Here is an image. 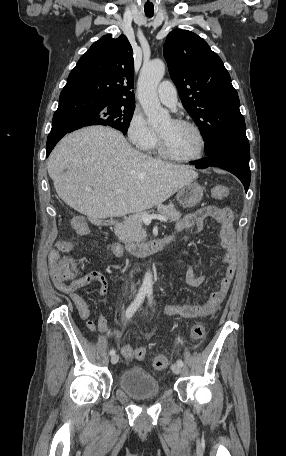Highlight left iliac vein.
I'll return each instance as SVG.
<instances>
[{
    "label": "left iliac vein",
    "instance_id": "1",
    "mask_svg": "<svg viewBox=\"0 0 286 456\" xmlns=\"http://www.w3.org/2000/svg\"><path fill=\"white\" fill-rule=\"evenodd\" d=\"M171 369L174 374H180L181 373V366L178 364H172Z\"/></svg>",
    "mask_w": 286,
    "mask_h": 456
}]
</instances>
